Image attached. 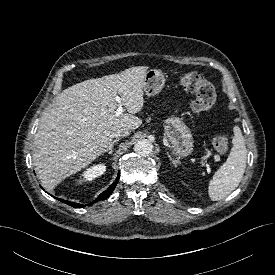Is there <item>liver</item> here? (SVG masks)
I'll return each instance as SVG.
<instances>
[{
    "instance_id": "obj_1",
    "label": "liver",
    "mask_w": 275,
    "mask_h": 275,
    "mask_svg": "<svg viewBox=\"0 0 275 275\" xmlns=\"http://www.w3.org/2000/svg\"><path fill=\"white\" fill-rule=\"evenodd\" d=\"M147 66L85 80L63 90L46 110L35 134L33 164L44 188L87 167L111 144L114 134L135 130L142 120L133 114L144 105ZM128 113L117 116L116 97Z\"/></svg>"
}]
</instances>
